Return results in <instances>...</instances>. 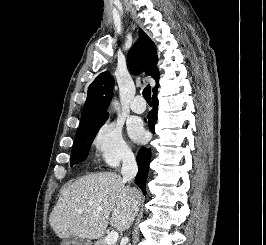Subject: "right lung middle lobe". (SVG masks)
<instances>
[{
  "mask_svg": "<svg viewBox=\"0 0 266 245\" xmlns=\"http://www.w3.org/2000/svg\"><path fill=\"white\" fill-rule=\"evenodd\" d=\"M107 118L108 116H104L79 125L71 153V166L87 158L91 143Z\"/></svg>",
  "mask_w": 266,
  "mask_h": 245,
  "instance_id": "1",
  "label": "right lung middle lobe"
}]
</instances>
